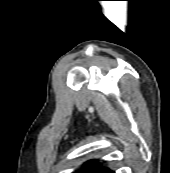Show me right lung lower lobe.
Listing matches in <instances>:
<instances>
[{
    "label": "right lung lower lobe",
    "mask_w": 170,
    "mask_h": 173,
    "mask_svg": "<svg viewBox=\"0 0 170 173\" xmlns=\"http://www.w3.org/2000/svg\"><path fill=\"white\" fill-rule=\"evenodd\" d=\"M109 173H114L113 171H110Z\"/></svg>",
    "instance_id": "98d812e1"
}]
</instances>
